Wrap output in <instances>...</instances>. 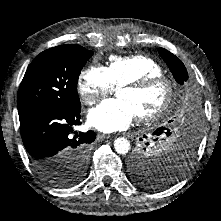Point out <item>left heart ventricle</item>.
I'll list each match as a JSON object with an SVG mask.
<instances>
[{
    "label": "left heart ventricle",
    "instance_id": "left-heart-ventricle-1",
    "mask_svg": "<svg viewBox=\"0 0 221 221\" xmlns=\"http://www.w3.org/2000/svg\"><path fill=\"white\" fill-rule=\"evenodd\" d=\"M117 96L131 106L135 116H140L161 107L167 98V88L164 84H158L141 92L120 89Z\"/></svg>",
    "mask_w": 221,
    "mask_h": 221
}]
</instances>
